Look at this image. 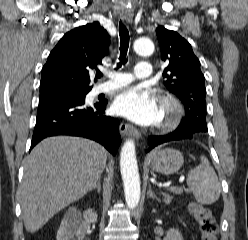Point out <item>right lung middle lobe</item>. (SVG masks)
<instances>
[{
    "label": "right lung middle lobe",
    "instance_id": "obj_1",
    "mask_svg": "<svg viewBox=\"0 0 248 240\" xmlns=\"http://www.w3.org/2000/svg\"><path fill=\"white\" fill-rule=\"evenodd\" d=\"M87 93H83V94H78V95H73V96H68L67 98H76V99H81L84 100L85 96ZM65 98V97H64Z\"/></svg>",
    "mask_w": 248,
    "mask_h": 240
}]
</instances>
